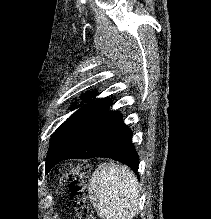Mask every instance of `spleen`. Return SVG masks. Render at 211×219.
Listing matches in <instances>:
<instances>
[{
	"instance_id": "obj_1",
	"label": "spleen",
	"mask_w": 211,
	"mask_h": 219,
	"mask_svg": "<svg viewBox=\"0 0 211 219\" xmlns=\"http://www.w3.org/2000/svg\"><path fill=\"white\" fill-rule=\"evenodd\" d=\"M89 199L102 219H132L137 211V178L126 166L102 163L92 174Z\"/></svg>"
}]
</instances>
